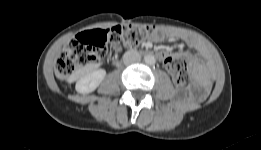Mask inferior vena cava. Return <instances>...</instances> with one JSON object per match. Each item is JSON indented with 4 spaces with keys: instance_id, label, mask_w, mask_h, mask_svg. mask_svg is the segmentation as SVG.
<instances>
[{
    "instance_id": "602c4592",
    "label": "inferior vena cava",
    "mask_w": 261,
    "mask_h": 150,
    "mask_svg": "<svg viewBox=\"0 0 261 150\" xmlns=\"http://www.w3.org/2000/svg\"><path fill=\"white\" fill-rule=\"evenodd\" d=\"M123 59L125 65H130L139 62L141 60V56L137 51L129 50L124 54Z\"/></svg>"
}]
</instances>
